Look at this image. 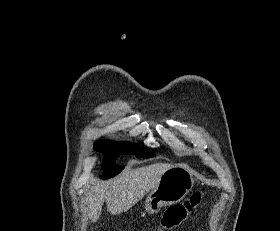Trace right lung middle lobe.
<instances>
[{
    "instance_id": "1",
    "label": "right lung middle lobe",
    "mask_w": 280,
    "mask_h": 231,
    "mask_svg": "<svg viewBox=\"0 0 280 231\" xmlns=\"http://www.w3.org/2000/svg\"><path fill=\"white\" fill-rule=\"evenodd\" d=\"M94 148L97 151H103L107 156L103 165L105 173L100 177L102 179L114 177L124 169V166H118L114 163V157L118 154H137L136 157L138 158H150L155 156V154L148 151H141L140 147L127 142L109 144L106 141H97L94 144Z\"/></svg>"
}]
</instances>
